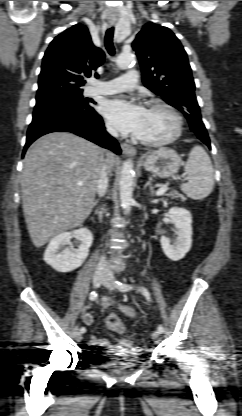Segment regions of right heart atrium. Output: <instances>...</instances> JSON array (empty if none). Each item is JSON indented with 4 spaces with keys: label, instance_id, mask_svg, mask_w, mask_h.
<instances>
[{
    "label": "right heart atrium",
    "instance_id": "d8ad5b80",
    "mask_svg": "<svg viewBox=\"0 0 242 416\" xmlns=\"http://www.w3.org/2000/svg\"><path fill=\"white\" fill-rule=\"evenodd\" d=\"M107 130L112 134L116 133L115 129L110 124H107Z\"/></svg>",
    "mask_w": 242,
    "mask_h": 416
}]
</instances>
